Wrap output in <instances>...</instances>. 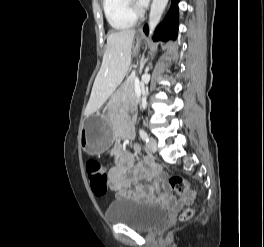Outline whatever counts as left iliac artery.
I'll list each match as a JSON object with an SVG mask.
<instances>
[{
    "label": "left iliac artery",
    "mask_w": 264,
    "mask_h": 247,
    "mask_svg": "<svg viewBox=\"0 0 264 247\" xmlns=\"http://www.w3.org/2000/svg\"><path fill=\"white\" fill-rule=\"evenodd\" d=\"M139 135L140 137L142 138V140L148 142L149 141V137H148V134L147 132L144 130V129H139Z\"/></svg>",
    "instance_id": "1"
}]
</instances>
